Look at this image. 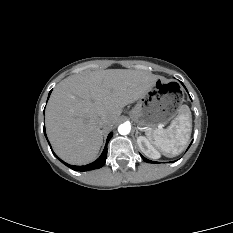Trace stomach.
Here are the masks:
<instances>
[{"label":"stomach","mask_w":233,"mask_h":233,"mask_svg":"<svg viewBox=\"0 0 233 233\" xmlns=\"http://www.w3.org/2000/svg\"><path fill=\"white\" fill-rule=\"evenodd\" d=\"M183 103L184 94L177 84L157 78L131 110V117L139 127L151 131L176 117Z\"/></svg>","instance_id":"stomach-1"}]
</instances>
